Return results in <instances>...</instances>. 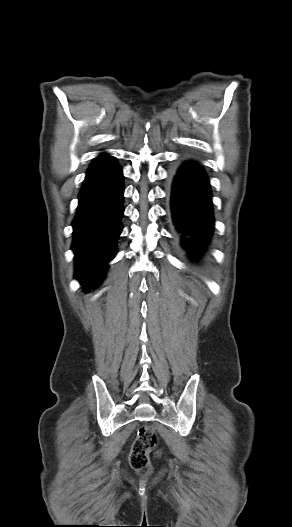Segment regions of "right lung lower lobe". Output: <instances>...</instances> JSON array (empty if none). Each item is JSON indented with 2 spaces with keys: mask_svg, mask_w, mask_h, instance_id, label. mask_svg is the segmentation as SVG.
Wrapping results in <instances>:
<instances>
[{
  "mask_svg": "<svg viewBox=\"0 0 292 527\" xmlns=\"http://www.w3.org/2000/svg\"><path fill=\"white\" fill-rule=\"evenodd\" d=\"M123 175L115 159L108 155L95 158L89 167L79 194L73 220L75 277L86 291L99 284L116 254L121 233Z\"/></svg>",
  "mask_w": 292,
  "mask_h": 527,
  "instance_id": "obj_1",
  "label": "right lung lower lobe"
}]
</instances>
